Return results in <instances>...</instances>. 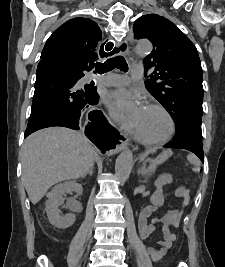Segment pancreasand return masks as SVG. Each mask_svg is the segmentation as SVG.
<instances>
[{
  "label": "pancreas",
  "mask_w": 225,
  "mask_h": 267,
  "mask_svg": "<svg viewBox=\"0 0 225 267\" xmlns=\"http://www.w3.org/2000/svg\"><path fill=\"white\" fill-rule=\"evenodd\" d=\"M162 161H163V160L160 159V160H155L154 162H152L150 168L148 169L149 174L152 173V172H154L155 169H156V167H157V165H158L159 163H161Z\"/></svg>",
  "instance_id": "obj_1"
}]
</instances>
